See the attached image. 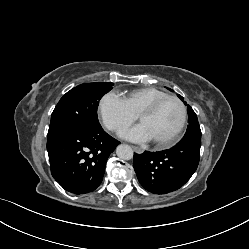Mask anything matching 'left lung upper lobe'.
<instances>
[{
    "label": "left lung upper lobe",
    "mask_w": 249,
    "mask_h": 249,
    "mask_svg": "<svg viewBox=\"0 0 249 249\" xmlns=\"http://www.w3.org/2000/svg\"><path fill=\"white\" fill-rule=\"evenodd\" d=\"M169 90H171V89H169ZM178 97L182 101L184 100L181 95H178ZM184 104L187 105V103L185 101H184ZM187 112H188L189 125H188L187 131H186L183 139H188V138L201 139V130H200L197 116H196L195 112L193 111V109L189 105H187Z\"/></svg>",
    "instance_id": "obj_1"
}]
</instances>
